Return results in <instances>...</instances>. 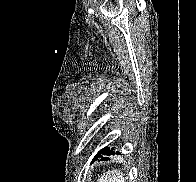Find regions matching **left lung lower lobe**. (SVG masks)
I'll list each match as a JSON object with an SVG mask.
<instances>
[{
	"instance_id": "obj_1",
	"label": "left lung lower lobe",
	"mask_w": 196,
	"mask_h": 182,
	"mask_svg": "<svg viewBox=\"0 0 196 182\" xmlns=\"http://www.w3.org/2000/svg\"><path fill=\"white\" fill-rule=\"evenodd\" d=\"M114 154H121L119 151H115L113 148L110 147H104L103 149H101L96 156L93 158L92 162H95L96 160H98V158L103 157V155H114ZM100 160H109V158H101Z\"/></svg>"
}]
</instances>
